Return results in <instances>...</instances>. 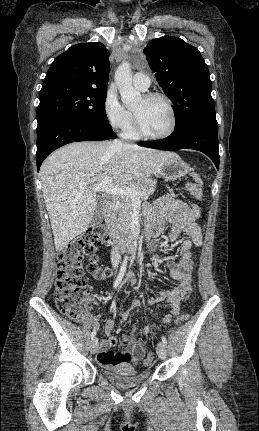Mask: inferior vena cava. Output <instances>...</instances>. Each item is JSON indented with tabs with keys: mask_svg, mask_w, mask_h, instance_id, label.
Segmentation results:
<instances>
[{
	"mask_svg": "<svg viewBox=\"0 0 259 431\" xmlns=\"http://www.w3.org/2000/svg\"><path fill=\"white\" fill-rule=\"evenodd\" d=\"M115 146L121 147L123 144L120 140L114 141ZM121 259L119 250L117 246H114L111 250V261L113 264H118Z\"/></svg>",
	"mask_w": 259,
	"mask_h": 431,
	"instance_id": "inferior-vena-cava-1",
	"label": "inferior vena cava"
}]
</instances>
